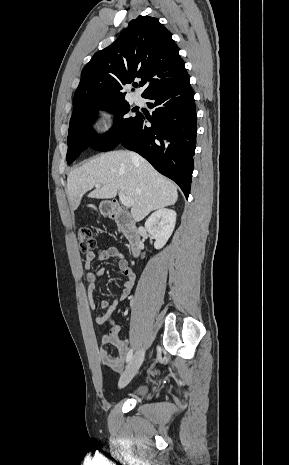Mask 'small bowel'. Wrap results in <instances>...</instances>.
I'll return each instance as SVG.
<instances>
[{
  "label": "small bowel",
  "instance_id": "1",
  "mask_svg": "<svg viewBox=\"0 0 289 465\" xmlns=\"http://www.w3.org/2000/svg\"><path fill=\"white\" fill-rule=\"evenodd\" d=\"M109 258L118 259V268L125 277V282L119 293V298L114 299L112 302L102 300L100 307L106 310L105 314L97 315L95 321L97 324L102 325L108 323L111 325L110 329L103 334L101 339V348L99 349V357L103 364L116 372H120L123 368L124 362L127 357V342L122 340L119 336L120 327L113 322V312L117 308L120 301L125 300L135 281V273L130 268L126 258L118 251L116 247H108L95 251H89L86 254V261L84 267L88 270L86 274L87 294L89 299L90 308L95 309L96 305L93 299V293L96 289L98 281L105 275L104 269L90 271L92 264L95 261H105ZM109 346L115 347L117 354L114 356L109 351Z\"/></svg>",
  "mask_w": 289,
  "mask_h": 465
}]
</instances>
